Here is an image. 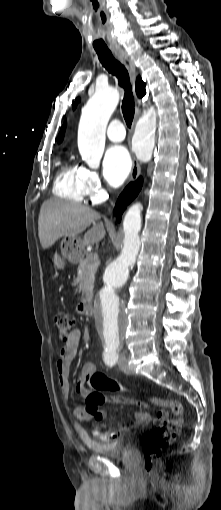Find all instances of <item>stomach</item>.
<instances>
[{"label":"stomach","mask_w":221,"mask_h":510,"mask_svg":"<svg viewBox=\"0 0 221 510\" xmlns=\"http://www.w3.org/2000/svg\"><path fill=\"white\" fill-rule=\"evenodd\" d=\"M60 251L62 257L56 252L53 259L56 268L63 269L65 260L77 262L83 257L82 240L77 236L65 237L61 242Z\"/></svg>","instance_id":"stomach-1"}]
</instances>
